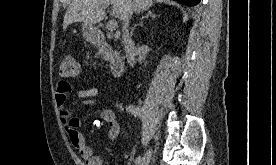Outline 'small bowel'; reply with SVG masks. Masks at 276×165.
<instances>
[{
  "label": "small bowel",
  "instance_id": "small-bowel-1",
  "mask_svg": "<svg viewBox=\"0 0 276 165\" xmlns=\"http://www.w3.org/2000/svg\"><path fill=\"white\" fill-rule=\"evenodd\" d=\"M72 91V86L66 81H60L55 88V101L59 109L61 123L71 145L79 152L85 165H103L100 156L96 155L93 149L87 145L83 134L79 131L80 119L75 115L74 107L68 102V95ZM76 96L82 100V104L91 108H96L98 117L92 121V127L97 128L103 122L109 126L108 138L114 141L119 132L120 125L116 119L113 109L109 106L101 105L96 97L99 94L97 87L79 89Z\"/></svg>",
  "mask_w": 276,
  "mask_h": 165
}]
</instances>
